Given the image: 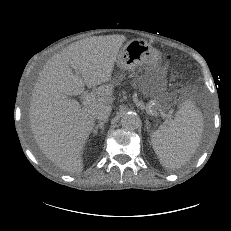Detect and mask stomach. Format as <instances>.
Segmentation results:
<instances>
[{"instance_id":"1","label":"stomach","mask_w":231,"mask_h":231,"mask_svg":"<svg viewBox=\"0 0 231 231\" xmlns=\"http://www.w3.org/2000/svg\"><path fill=\"white\" fill-rule=\"evenodd\" d=\"M160 62L161 57L158 51L143 38L126 42L116 59V65L123 70L147 67L140 81L141 89L144 94L157 101L164 98L166 87V79Z\"/></svg>"}]
</instances>
